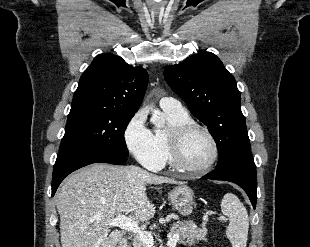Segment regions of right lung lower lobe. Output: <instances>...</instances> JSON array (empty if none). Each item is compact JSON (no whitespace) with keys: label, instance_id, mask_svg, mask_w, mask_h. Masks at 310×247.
Masks as SVG:
<instances>
[{"label":"right lung lower lobe","instance_id":"obj_1","mask_svg":"<svg viewBox=\"0 0 310 247\" xmlns=\"http://www.w3.org/2000/svg\"><path fill=\"white\" fill-rule=\"evenodd\" d=\"M127 156L114 154L106 151L75 148L59 152L52 177V196H54L62 180L71 172L92 163L123 164Z\"/></svg>","mask_w":310,"mask_h":247}]
</instances>
